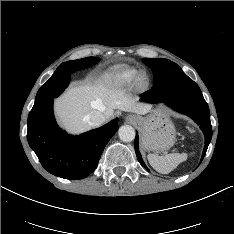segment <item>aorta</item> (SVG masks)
<instances>
[{
    "label": "aorta",
    "instance_id": "1",
    "mask_svg": "<svg viewBox=\"0 0 234 234\" xmlns=\"http://www.w3.org/2000/svg\"><path fill=\"white\" fill-rule=\"evenodd\" d=\"M119 138L124 142H131L135 139V130L130 125H123L118 130Z\"/></svg>",
    "mask_w": 234,
    "mask_h": 234
}]
</instances>
